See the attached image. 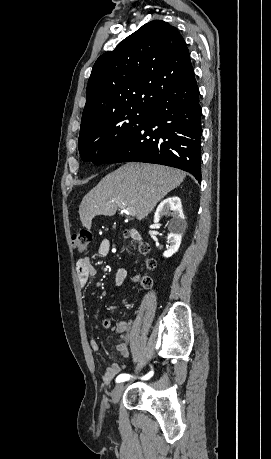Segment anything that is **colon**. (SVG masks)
<instances>
[{"label": "colon", "mask_w": 271, "mask_h": 459, "mask_svg": "<svg viewBox=\"0 0 271 459\" xmlns=\"http://www.w3.org/2000/svg\"><path fill=\"white\" fill-rule=\"evenodd\" d=\"M92 241V233L87 229H81L75 232L72 236V246L78 252H85L88 249L90 242ZM148 249L147 245H142L140 250L142 252H146ZM147 266L149 268H153L155 266V262L153 260L147 261ZM139 282L147 287L151 285V279L144 276L138 279Z\"/></svg>", "instance_id": "1"}]
</instances>
